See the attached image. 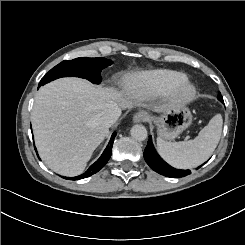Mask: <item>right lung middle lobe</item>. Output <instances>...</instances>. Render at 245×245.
<instances>
[{"instance_id": "1", "label": "right lung middle lobe", "mask_w": 245, "mask_h": 245, "mask_svg": "<svg viewBox=\"0 0 245 245\" xmlns=\"http://www.w3.org/2000/svg\"><path fill=\"white\" fill-rule=\"evenodd\" d=\"M112 63L111 60L103 57L65 60L46 73L41 79L39 87L54 79L69 76L85 78L98 84L101 82L100 72Z\"/></svg>"}]
</instances>
